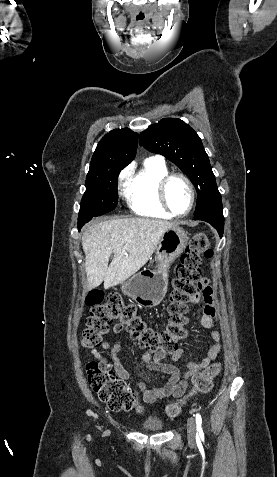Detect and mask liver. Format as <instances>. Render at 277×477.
Returning <instances> with one entry per match:
<instances>
[{
    "label": "liver",
    "instance_id": "liver-1",
    "mask_svg": "<svg viewBox=\"0 0 277 477\" xmlns=\"http://www.w3.org/2000/svg\"><path fill=\"white\" fill-rule=\"evenodd\" d=\"M174 222L124 218L89 224L82 236L87 290L104 281L106 288L125 282L150 259L163 234ZM113 260L108 266L111 254Z\"/></svg>",
    "mask_w": 277,
    "mask_h": 477
}]
</instances>
